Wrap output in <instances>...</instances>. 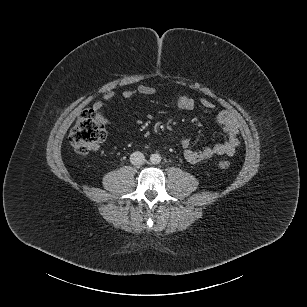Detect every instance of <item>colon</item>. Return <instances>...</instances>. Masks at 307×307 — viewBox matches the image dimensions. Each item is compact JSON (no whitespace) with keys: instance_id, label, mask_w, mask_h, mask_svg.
Here are the masks:
<instances>
[{"instance_id":"1","label":"colon","mask_w":307,"mask_h":307,"mask_svg":"<svg viewBox=\"0 0 307 307\" xmlns=\"http://www.w3.org/2000/svg\"><path fill=\"white\" fill-rule=\"evenodd\" d=\"M106 129L102 121L98 118L94 109H87L79 116L76 124L72 128L69 141L78 155H86L96 150L105 140ZM230 162L226 159L219 161V167L228 169Z\"/></svg>"}]
</instances>
